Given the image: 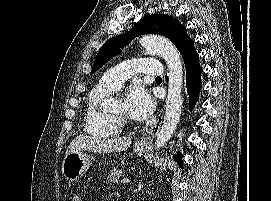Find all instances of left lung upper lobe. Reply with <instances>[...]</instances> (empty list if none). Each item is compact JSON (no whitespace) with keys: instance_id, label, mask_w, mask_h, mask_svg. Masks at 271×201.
<instances>
[{"instance_id":"5c2ea615","label":"left lung upper lobe","mask_w":271,"mask_h":201,"mask_svg":"<svg viewBox=\"0 0 271 201\" xmlns=\"http://www.w3.org/2000/svg\"><path fill=\"white\" fill-rule=\"evenodd\" d=\"M145 34L163 35L179 50L188 41L192 40L186 33L185 26L181 25L175 18L164 14H152L139 20L132 29L119 36L109 39L99 49L91 74L95 73L105 63L121 52L135 37Z\"/></svg>"}]
</instances>
